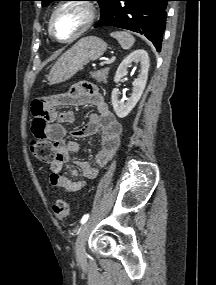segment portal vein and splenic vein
<instances>
[{
	"label": "portal vein and splenic vein",
	"instance_id": "obj_1",
	"mask_svg": "<svg viewBox=\"0 0 216 285\" xmlns=\"http://www.w3.org/2000/svg\"><path fill=\"white\" fill-rule=\"evenodd\" d=\"M109 62H101V66H104L105 64H108Z\"/></svg>",
	"mask_w": 216,
	"mask_h": 285
}]
</instances>
